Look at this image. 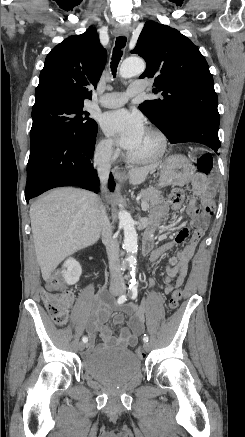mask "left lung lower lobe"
Segmentation results:
<instances>
[{"label":"left lung lower lobe","instance_id":"obj_1","mask_svg":"<svg viewBox=\"0 0 245 437\" xmlns=\"http://www.w3.org/2000/svg\"><path fill=\"white\" fill-rule=\"evenodd\" d=\"M219 122L196 114L183 117L171 143L197 142L212 148L217 154L221 146L218 138Z\"/></svg>","mask_w":245,"mask_h":437}]
</instances>
